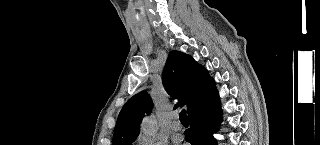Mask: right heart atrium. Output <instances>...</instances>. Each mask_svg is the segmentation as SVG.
<instances>
[{
    "mask_svg": "<svg viewBox=\"0 0 320 145\" xmlns=\"http://www.w3.org/2000/svg\"><path fill=\"white\" fill-rule=\"evenodd\" d=\"M137 143L138 145H165L163 140L145 134L139 135Z\"/></svg>",
    "mask_w": 320,
    "mask_h": 145,
    "instance_id": "obj_1",
    "label": "right heart atrium"
}]
</instances>
